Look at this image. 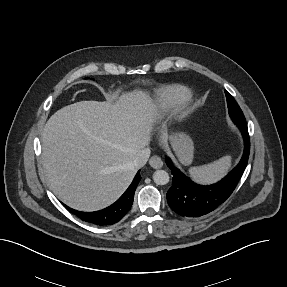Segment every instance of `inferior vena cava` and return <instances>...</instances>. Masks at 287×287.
I'll list each match as a JSON object with an SVG mask.
<instances>
[{
	"instance_id": "1",
	"label": "inferior vena cava",
	"mask_w": 287,
	"mask_h": 287,
	"mask_svg": "<svg viewBox=\"0 0 287 287\" xmlns=\"http://www.w3.org/2000/svg\"><path fill=\"white\" fill-rule=\"evenodd\" d=\"M149 156H150V149L149 148H144L143 150H141L137 154L135 159L132 161L131 167L133 169H136V170L142 168L146 164Z\"/></svg>"
}]
</instances>
